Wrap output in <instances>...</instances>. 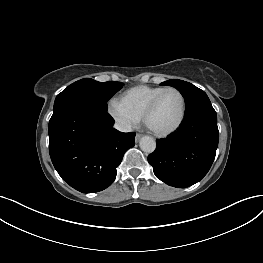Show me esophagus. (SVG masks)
I'll return each instance as SVG.
<instances>
[{"label":"esophagus","instance_id":"34e87169","mask_svg":"<svg viewBox=\"0 0 263 263\" xmlns=\"http://www.w3.org/2000/svg\"><path fill=\"white\" fill-rule=\"evenodd\" d=\"M141 137H142V134L137 133L135 136V141L138 142Z\"/></svg>","mask_w":263,"mask_h":263}]
</instances>
